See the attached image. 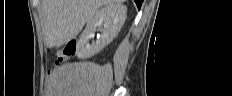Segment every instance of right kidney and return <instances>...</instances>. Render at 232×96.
Listing matches in <instances>:
<instances>
[{"label": "right kidney", "instance_id": "1", "mask_svg": "<svg viewBox=\"0 0 232 96\" xmlns=\"http://www.w3.org/2000/svg\"><path fill=\"white\" fill-rule=\"evenodd\" d=\"M127 7L121 3H110L96 11L88 20L76 46L80 58H90L100 52L119 33L126 20ZM97 27L102 34L96 42L88 43Z\"/></svg>", "mask_w": 232, "mask_h": 96}]
</instances>
